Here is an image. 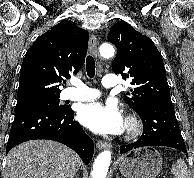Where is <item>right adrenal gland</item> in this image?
Masks as SVG:
<instances>
[{"instance_id":"obj_1","label":"right adrenal gland","mask_w":194,"mask_h":178,"mask_svg":"<svg viewBox=\"0 0 194 178\" xmlns=\"http://www.w3.org/2000/svg\"><path fill=\"white\" fill-rule=\"evenodd\" d=\"M73 178H77V175H75Z\"/></svg>"}]
</instances>
